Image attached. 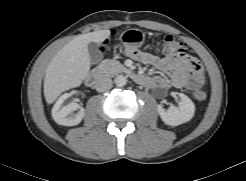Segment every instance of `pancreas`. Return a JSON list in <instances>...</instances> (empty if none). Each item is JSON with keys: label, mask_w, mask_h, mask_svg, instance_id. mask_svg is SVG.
I'll use <instances>...</instances> for the list:
<instances>
[{"label": "pancreas", "mask_w": 246, "mask_h": 181, "mask_svg": "<svg viewBox=\"0 0 246 181\" xmlns=\"http://www.w3.org/2000/svg\"><path fill=\"white\" fill-rule=\"evenodd\" d=\"M98 69L100 72L109 76H113L117 73L127 71L126 67H124L119 61L112 60V59H106L102 61Z\"/></svg>", "instance_id": "pancreas-1"}]
</instances>
